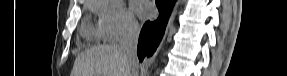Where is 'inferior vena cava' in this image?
<instances>
[{"label":"inferior vena cava","mask_w":287,"mask_h":76,"mask_svg":"<svg viewBox=\"0 0 287 76\" xmlns=\"http://www.w3.org/2000/svg\"><path fill=\"white\" fill-rule=\"evenodd\" d=\"M139 33L138 23L130 20L119 42L120 52L128 59L131 65V76H138L137 44Z\"/></svg>","instance_id":"obj_1"}]
</instances>
